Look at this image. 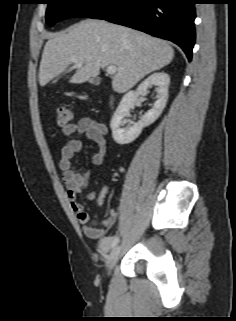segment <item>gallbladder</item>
<instances>
[{
    "instance_id": "1",
    "label": "gallbladder",
    "mask_w": 236,
    "mask_h": 321,
    "mask_svg": "<svg viewBox=\"0 0 236 321\" xmlns=\"http://www.w3.org/2000/svg\"><path fill=\"white\" fill-rule=\"evenodd\" d=\"M99 82V80L97 78L94 79L93 83L97 84Z\"/></svg>"
}]
</instances>
